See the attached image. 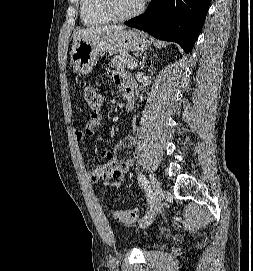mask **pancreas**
<instances>
[{"instance_id":"cf45deb5","label":"pancreas","mask_w":253,"mask_h":271,"mask_svg":"<svg viewBox=\"0 0 253 271\" xmlns=\"http://www.w3.org/2000/svg\"><path fill=\"white\" fill-rule=\"evenodd\" d=\"M134 61L135 59L129 53H119L113 57L110 66L117 70L124 71L126 68L128 69V65Z\"/></svg>"}]
</instances>
